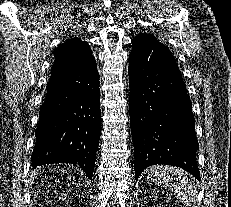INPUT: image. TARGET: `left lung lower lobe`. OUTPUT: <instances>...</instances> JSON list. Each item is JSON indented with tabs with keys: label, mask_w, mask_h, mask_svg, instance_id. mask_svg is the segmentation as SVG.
<instances>
[{
	"label": "left lung lower lobe",
	"mask_w": 231,
	"mask_h": 207,
	"mask_svg": "<svg viewBox=\"0 0 231 207\" xmlns=\"http://www.w3.org/2000/svg\"><path fill=\"white\" fill-rule=\"evenodd\" d=\"M128 72L135 179L151 165L168 164L200 180L192 105L169 48L134 38Z\"/></svg>",
	"instance_id": "1"
}]
</instances>
